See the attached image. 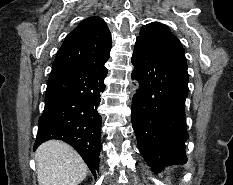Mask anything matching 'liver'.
Listing matches in <instances>:
<instances>
[{"label":"liver","instance_id":"6515ba94","mask_svg":"<svg viewBox=\"0 0 233 185\" xmlns=\"http://www.w3.org/2000/svg\"><path fill=\"white\" fill-rule=\"evenodd\" d=\"M39 185H78L88 172L80 155L68 144L49 140L35 152Z\"/></svg>","mask_w":233,"mask_h":185}]
</instances>
